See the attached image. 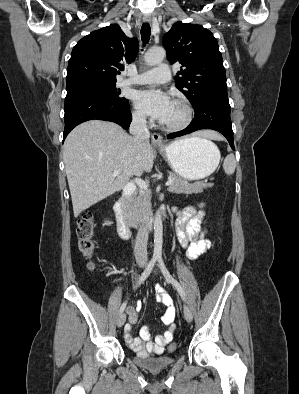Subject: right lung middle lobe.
<instances>
[{
	"label": "right lung middle lobe",
	"instance_id": "1",
	"mask_svg": "<svg viewBox=\"0 0 299 394\" xmlns=\"http://www.w3.org/2000/svg\"><path fill=\"white\" fill-rule=\"evenodd\" d=\"M98 93L110 97L113 102L121 104L127 100L124 97H120V90L116 89V82H96L87 83L75 87L67 88V95L77 93Z\"/></svg>",
	"mask_w": 299,
	"mask_h": 394
}]
</instances>
